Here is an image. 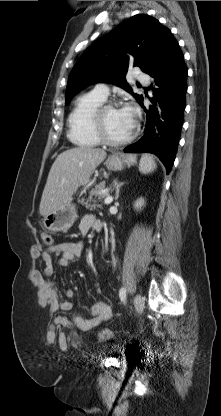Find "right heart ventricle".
Masks as SVG:
<instances>
[{"label": "right heart ventricle", "mask_w": 221, "mask_h": 416, "mask_svg": "<svg viewBox=\"0 0 221 416\" xmlns=\"http://www.w3.org/2000/svg\"><path fill=\"white\" fill-rule=\"evenodd\" d=\"M106 98L94 91L78 97L68 117V136L76 145L94 147L101 144L93 129L95 110L105 102Z\"/></svg>", "instance_id": "obj_1"}]
</instances>
